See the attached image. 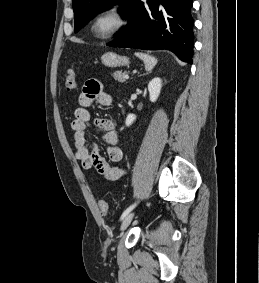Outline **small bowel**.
<instances>
[{
    "label": "small bowel",
    "mask_w": 259,
    "mask_h": 283,
    "mask_svg": "<svg viewBox=\"0 0 259 283\" xmlns=\"http://www.w3.org/2000/svg\"><path fill=\"white\" fill-rule=\"evenodd\" d=\"M108 107L113 103L112 97L106 93L101 84L96 80H88L78 97L79 106L74 111L71 122L75 144V158L82 168L89 170L94 168L97 173L106 180L116 181L125 174V169L110 162L118 163L123 158V152L118 145L119 134L113 120L109 118H96L94 125L103 132L102 139L106 144L108 162L99 154L98 146L87 141L86 130L91 121L88 107L94 103Z\"/></svg>",
    "instance_id": "small-bowel-1"
}]
</instances>
